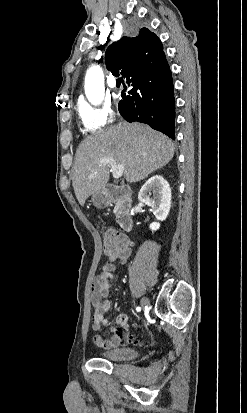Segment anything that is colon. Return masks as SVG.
I'll return each mask as SVG.
<instances>
[{
    "instance_id": "5ec220e1",
    "label": "colon",
    "mask_w": 247,
    "mask_h": 413,
    "mask_svg": "<svg viewBox=\"0 0 247 413\" xmlns=\"http://www.w3.org/2000/svg\"><path fill=\"white\" fill-rule=\"evenodd\" d=\"M125 235L119 230L116 229L115 231H109L104 235V241L107 245L108 252H115L119 254L121 249L119 247L125 248Z\"/></svg>"
}]
</instances>
